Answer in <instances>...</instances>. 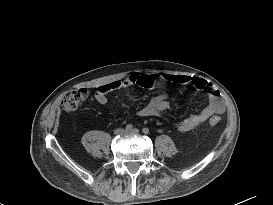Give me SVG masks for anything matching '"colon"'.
<instances>
[{
	"mask_svg": "<svg viewBox=\"0 0 273 205\" xmlns=\"http://www.w3.org/2000/svg\"><path fill=\"white\" fill-rule=\"evenodd\" d=\"M88 98V92L85 89H73L66 92L61 100L62 107L67 112L76 111L82 107ZM220 122L219 117L213 116L210 119V124L212 126L218 125Z\"/></svg>",
	"mask_w": 273,
	"mask_h": 205,
	"instance_id": "5ec220e1",
	"label": "colon"
}]
</instances>
